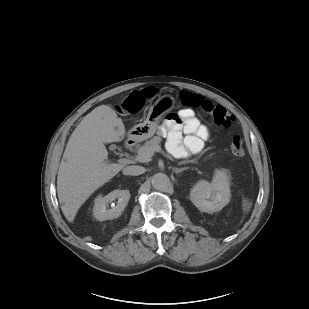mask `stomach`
I'll return each mask as SVG.
<instances>
[{
    "mask_svg": "<svg viewBox=\"0 0 309 309\" xmlns=\"http://www.w3.org/2000/svg\"><path fill=\"white\" fill-rule=\"evenodd\" d=\"M175 100L170 95L160 96L149 108L147 118L143 123L135 125L129 131V136L135 140H145L152 137L162 117L174 107Z\"/></svg>",
    "mask_w": 309,
    "mask_h": 309,
    "instance_id": "1",
    "label": "stomach"
}]
</instances>
